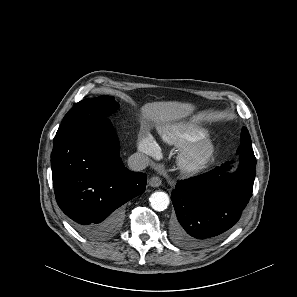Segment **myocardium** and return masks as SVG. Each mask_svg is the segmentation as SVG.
<instances>
[{"instance_id": "f54148a6", "label": "myocardium", "mask_w": 297, "mask_h": 297, "mask_svg": "<svg viewBox=\"0 0 297 297\" xmlns=\"http://www.w3.org/2000/svg\"><path fill=\"white\" fill-rule=\"evenodd\" d=\"M216 153L215 143L203 137L185 147L178 155L180 170L187 174H195L204 169Z\"/></svg>"}]
</instances>
